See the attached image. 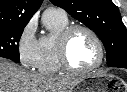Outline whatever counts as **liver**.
Here are the masks:
<instances>
[{
	"mask_svg": "<svg viewBox=\"0 0 127 92\" xmlns=\"http://www.w3.org/2000/svg\"><path fill=\"white\" fill-rule=\"evenodd\" d=\"M82 78L31 73L0 59V92H71Z\"/></svg>",
	"mask_w": 127,
	"mask_h": 92,
	"instance_id": "obj_1",
	"label": "liver"
}]
</instances>
